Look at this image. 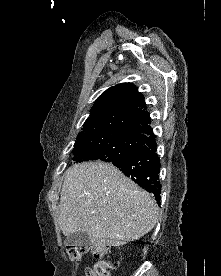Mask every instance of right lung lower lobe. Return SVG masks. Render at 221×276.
<instances>
[{
  "label": "right lung lower lobe",
  "instance_id": "obj_1",
  "mask_svg": "<svg viewBox=\"0 0 221 276\" xmlns=\"http://www.w3.org/2000/svg\"><path fill=\"white\" fill-rule=\"evenodd\" d=\"M155 135L151 131L141 146L125 157L111 161L126 176L139 186L151 192L160 205L161 183L159 181L160 162L156 153Z\"/></svg>",
  "mask_w": 221,
  "mask_h": 276
}]
</instances>
